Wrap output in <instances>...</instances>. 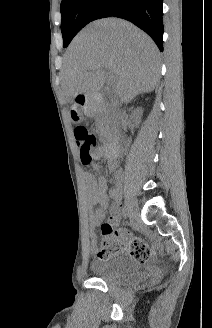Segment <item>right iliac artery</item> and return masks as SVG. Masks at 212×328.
Returning <instances> with one entry per match:
<instances>
[{"instance_id":"1","label":"right iliac artery","mask_w":212,"mask_h":328,"mask_svg":"<svg viewBox=\"0 0 212 328\" xmlns=\"http://www.w3.org/2000/svg\"><path fill=\"white\" fill-rule=\"evenodd\" d=\"M122 214H123L124 218H127V216L129 215V212H128L126 206L123 207Z\"/></svg>"}]
</instances>
